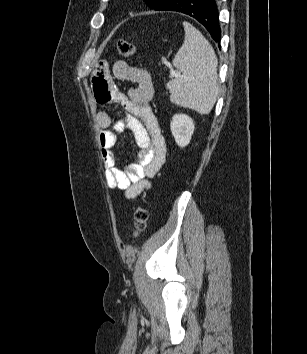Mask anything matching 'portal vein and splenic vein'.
Masks as SVG:
<instances>
[{"label":"portal vein and splenic vein","mask_w":307,"mask_h":354,"mask_svg":"<svg viewBox=\"0 0 307 354\" xmlns=\"http://www.w3.org/2000/svg\"><path fill=\"white\" fill-rule=\"evenodd\" d=\"M164 63L171 69V71H170L171 76H173V77L178 76V74L175 71H173L170 63H168L167 61H164Z\"/></svg>","instance_id":"18ae733b"}]
</instances>
